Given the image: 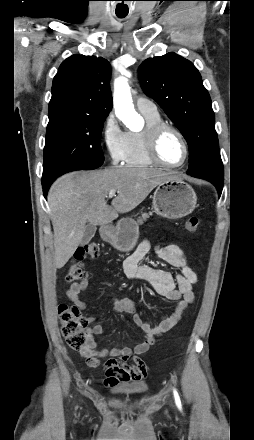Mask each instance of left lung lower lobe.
Returning a JSON list of instances; mask_svg holds the SVG:
<instances>
[{
    "label": "left lung lower lobe",
    "mask_w": 254,
    "mask_h": 440,
    "mask_svg": "<svg viewBox=\"0 0 254 440\" xmlns=\"http://www.w3.org/2000/svg\"><path fill=\"white\" fill-rule=\"evenodd\" d=\"M214 185L216 186V188H217L219 194H221V192H222V188H223V182H222V183L215 182Z\"/></svg>",
    "instance_id": "1"
}]
</instances>
